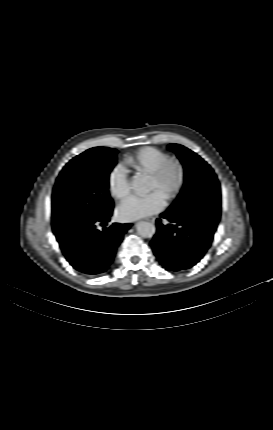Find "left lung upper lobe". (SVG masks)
<instances>
[{"mask_svg":"<svg viewBox=\"0 0 273 430\" xmlns=\"http://www.w3.org/2000/svg\"><path fill=\"white\" fill-rule=\"evenodd\" d=\"M169 149L176 153L185 169V183L178 198L170 209L183 212L186 202L199 195L220 197V184L213 169L196 153L179 144H170Z\"/></svg>","mask_w":273,"mask_h":430,"instance_id":"left-lung-upper-lobe-1","label":"left lung upper lobe"}]
</instances>
